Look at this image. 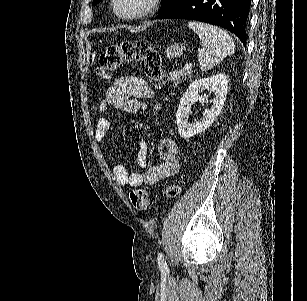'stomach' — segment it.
Masks as SVG:
<instances>
[{"mask_svg":"<svg viewBox=\"0 0 307 301\" xmlns=\"http://www.w3.org/2000/svg\"><path fill=\"white\" fill-rule=\"evenodd\" d=\"M185 46L181 42H173L170 46H167L164 54L167 58H176V56H181L183 54Z\"/></svg>","mask_w":307,"mask_h":301,"instance_id":"stomach-1","label":"stomach"}]
</instances>
